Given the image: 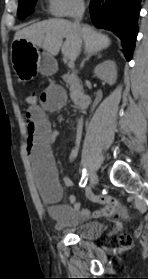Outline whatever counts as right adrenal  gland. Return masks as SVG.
I'll list each match as a JSON object with an SVG mask.
<instances>
[{"instance_id": "1", "label": "right adrenal gland", "mask_w": 148, "mask_h": 279, "mask_svg": "<svg viewBox=\"0 0 148 279\" xmlns=\"http://www.w3.org/2000/svg\"><path fill=\"white\" fill-rule=\"evenodd\" d=\"M91 56H92V54H88V55L83 59V61H82V63H81V68L84 67L85 62L88 61V60L91 58ZM97 58H101V54H99V55L97 56Z\"/></svg>"}]
</instances>
